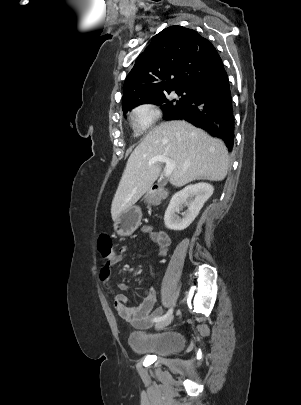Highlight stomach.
I'll return each mask as SVG.
<instances>
[{"mask_svg":"<svg viewBox=\"0 0 301 405\" xmlns=\"http://www.w3.org/2000/svg\"><path fill=\"white\" fill-rule=\"evenodd\" d=\"M140 219V211L130 208L122 212L114 221V229L121 236L130 235L139 226Z\"/></svg>","mask_w":301,"mask_h":405,"instance_id":"obj_1","label":"stomach"}]
</instances>
